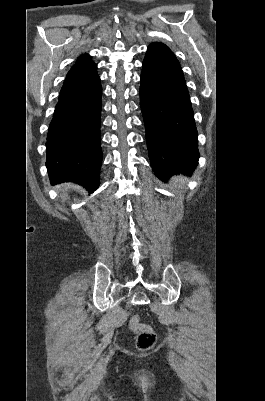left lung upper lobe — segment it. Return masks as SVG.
Returning a JSON list of instances; mask_svg holds the SVG:
<instances>
[{"label":"left lung upper lobe","instance_id":"obj_1","mask_svg":"<svg viewBox=\"0 0 265 401\" xmlns=\"http://www.w3.org/2000/svg\"><path fill=\"white\" fill-rule=\"evenodd\" d=\"M146 57H154L162 61L180 65L171 50L166 45L158 42H154L148 47Z\"/></svg>","mask_w":265,"mask_h":401}]
</instances>
